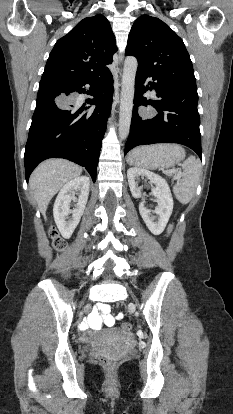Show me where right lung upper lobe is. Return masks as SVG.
Instances as JSON below:
<instances>
[{
	"instance_id": "cb5924a9",
	"label": "right lung upper lobe",
	"mask_w": 233,
	"mask_h": 414,
	"mask_svg": "<svg viewBox=\"0 0 233 414\" xmlns=\"http://www.w3.org/2000/svg\"><path fill=\"white\" fill-rule=\"evenodd\" d=\"M117 51L108 20L96 15L81 20L60 38L47 60L41 81H78L106 74Z\"/></svg>"
}]
</instances>
